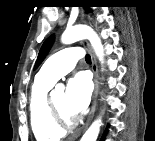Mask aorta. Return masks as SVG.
<instances>
[{
    "mask_svg": "<svg viewBox=\"0 0 155 141\" xmlns=\"http://www.w3.org/2000/svg\"><path fill=\"white\" fill-rule=\"evenodd\" d=\"M88 39L98 56L99 60L103 63L104 49L101 40L92 28L87 25H76L67 28L62 34L61 41L64 44L74 43L76 41ZM56 89L63 90L62 86H57ZM101 121L96 120L88 128L82 136L81 141H96L100 131Z\"/></svg>",
    "mask_w": 155,
    "mask_h": 141,
    "instance_id": "762f6f07",
    "label": "aorta"
}]
</instances>
